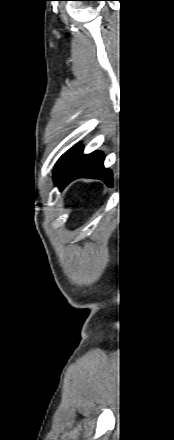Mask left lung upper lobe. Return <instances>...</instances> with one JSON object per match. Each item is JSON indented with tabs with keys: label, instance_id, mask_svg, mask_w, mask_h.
Returning <instances> with one entry per match:
<instances>
[{
	"label": "left lung upper lobe",
	"instance_id": "obj_1",
	"mask_svg": "<svg viewBox=\"0 0 174 440\" xmlns=\"http://www.w3.org/2000/svg\"><path fill=\"white\" fill-rule=\"evenodd\" d=\"M72 150H69L65 154L61 156V158L58 160L55 170H54V179L56 180L59 175L63 172L64 168L66 167L69 158L71 156Z\"/></svg>",
	"mask_w": 174,
	"mask_h": 440
}]
</instances>
